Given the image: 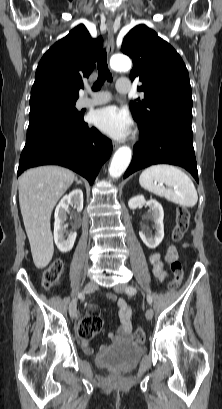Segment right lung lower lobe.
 I'll list each match as a JSON object with an SVG mask.
<instances>
[{"mask_svg": "<svg viewBox=\"0 0 222 409\" xmlns=\"http://www.w3.org/2000/svg\"><path fill=\"white\" fill-rule=\"evenodd\" d=\"M112 152L111 141L82 119H50L28 129L17 176L40 165H61L94 183L101 165Z\"/></svg>", "mask_w": 222, "mask_h": 409, "instance_id": "98d812e1", "label": "right lung lower lobe"}]
</instances>
